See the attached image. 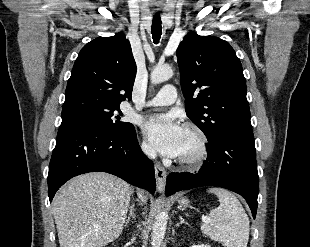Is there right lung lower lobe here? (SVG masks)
<instances>
[{"instance_id": "right-lung-lower-lobe-1", "label": "right lung lower lobe", "mask_w": 310, "mask_h": 247, "mask_svg": "<svg viewBox=\"0 0 310 247\" xmlns=\"http://www.w3.org/2000/svg\"><path fill=\"white\" fill-rule=\"evenodd\" d=\"M107 172L154 193V166L140 149L134 127L123 132L95 126L61 127L50 160L48 195L70 178L87 172Z\"/></svg>"}]
</instances>
